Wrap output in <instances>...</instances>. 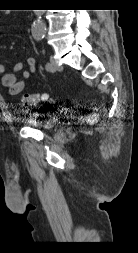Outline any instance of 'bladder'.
Masks as SVG:
<instances>
[{"label": "bladder", "mask_w": 138, "mask_h": 253, "mask_svg": "<svg viewBox=\"0 0 138 253\" xmlns=\"http://www.w3.org/2000/svg\"><path fill=\"white\" fill-rule=\"evenodd\" d=\"M25 123L27 126L37 130L51 131L57 128L59 124V118L47 117L45 119H39L34 116H30L25 119Z\"/></svg>", "instance_id": "bladder-1"}]
</instances>
